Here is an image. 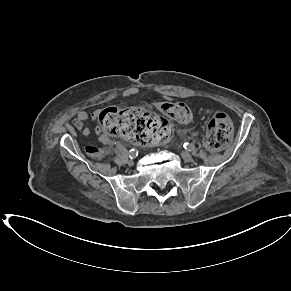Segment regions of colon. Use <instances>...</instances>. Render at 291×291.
<instances>
[{
    "mask_svg": "<svg viewBox=\"0 0 291 291\" xmlns=\"http://www.w3.org/2000/svg\"><path fill=\"white\" fill-rule=\"evenodd\" d=\"M161 112L167 118L180 123H188L193 119L191 110L182 102H164L161 104ZM98 122L100 128L107 133L142 145L160 142L171 130L166 118L141 108L107 107L100 112ZM232 134V120L227 114L218 112L208 124L205 144L210 150H222L229 144ZM86 152L96 158L103 154V151L95 146L86 147Z\"/></svg>",
    "mask_w": 291,
    "mask_h": 291,
    "instance_id": "obj_1",
    "label": "colon"
}]
</instances>
